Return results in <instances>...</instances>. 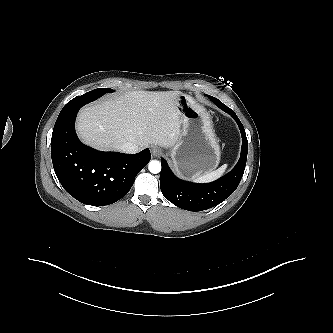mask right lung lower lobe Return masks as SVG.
Instances as JSON below:
<instances>
[{
	"label": "right lung lower lobe",
	"mask_w": 333,
	"mask_h": 333,
	"mask_svg": "<svg viewBox=\"0 0 333 333\" xmlns=\"http://www.w3.org/2000/svg\"><path fill=\"white\" fill-rule=\"evenodd\" d=\"M79 109H62L51 138L54 171L63 188L88 205H109L124 197L150 161L149 149L137 154L103 152L82 144L74 128Z\"/></svg>",
	"instance_id": "right-lung-lower-lobe-1"
}]
</instances>
